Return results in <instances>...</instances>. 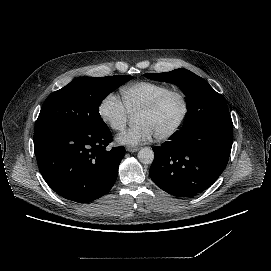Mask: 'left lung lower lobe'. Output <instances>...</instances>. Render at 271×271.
<instances>
[{
    "instance_id": "0a47b994",
    "label": "left lung lower lobe",
    "mask_w": 271,
    "mask_h": 271,
    "mask_svg": "<svg viewBox=\"0 0 271 271\" xmlns=\"http://www.w3.org/2000/svg\"><path fill=\"white\" fill-rule=\"evenodd\" d=\"M233 141L232 123L205 122L180 131L153 147L149 175L162 190L178 197L197 195L225 169Z\"/></svg>"
}]
</instances>
